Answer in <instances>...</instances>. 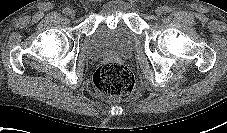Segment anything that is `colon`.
<instances>
[{
    "mask_svg": "<svg viewBox=\"0 0 227 133\" xmlns=\"http://www.w3.org/2000/svg\"><path fill=\"white\" fill-rule=\"evenodd\" d=\"M95 88L103 95L126 98L134 89V77L122 63L109 61L101 64L93 77Z\"/></svg>",
    "mask_w": 227,
    "mask_h": 133,
    "instance_id": "colon-1",
    "label": "colon"
}]
</instances>
